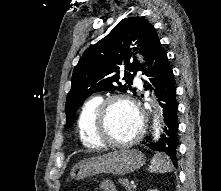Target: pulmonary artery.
Instances as JSON below:
<instances>
[{"mask_svg":"<svg viewBox=\"0 0 221 191\" xmlns=\"http://www.w3.org/2000/svg\"><path fill=\"white\" fill-rule=\"evenodd\" d=\"M134 82H135V84H136L137 86H139V87L142 85V84H141V80H140L138 77H135Z\"/></svg>","mask_w":221,"mask_h":191,"instance_id":"obj_1","label":"pulmonary artery"}]
</instances>
